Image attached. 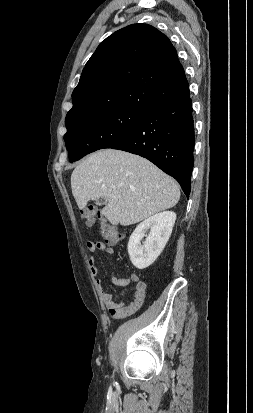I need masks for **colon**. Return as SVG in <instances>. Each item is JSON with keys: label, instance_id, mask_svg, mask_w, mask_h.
Wrapping results in <instances>:
<instances>
[{"label": "colon", "instance_id": "colon-1", "mask_svg": "<svg viewBox=\"0 0 253 413\" xmlns=\"http://www.w3.org/2000/svg\"><path fill=\"white\" fill-rule=\"evenodd\" d=\"M80 215L89 226L98 220L102 236L106 243L114 245L121 239L122 235L101 215L96 206L88 205L84 207L80 210Z\"/></svg>", "mask_w": 253, "mask_h": 413}]
</instances>
